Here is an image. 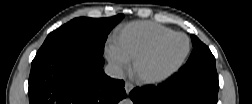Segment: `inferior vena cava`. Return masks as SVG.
<instances>
[{"instance_id":"inferior-vena-cava-1","label":"inferior vena cava","mask_w":252,"mask_h":104,"mask_svg":"<svg viewBox=\"0 0 252 104\" xmlns=\"http://www.w3.org/2000/svg\"><path fill=\"white\" fill-rule=\"evenodd\" d=\"M104 71L106 75L114 79L124 78V72L122 68L116 64H108L105 66Z\"/></svg>"}]
</instances>
